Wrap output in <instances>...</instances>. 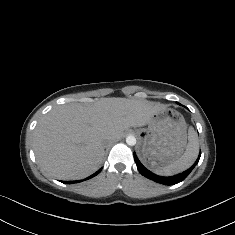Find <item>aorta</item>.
<instances>
[{"instance_id":"aorta-1","label":"aorta","mask_w":235,"mask_h":235,"mask_svg":"<svg viewBox=\"0 0 235 235\" xmlns=\"http://www.w3.org/2000/svg\"><path fill=\"white\" fill-rule=\"evenodd\" d=\"M126 143L129 145V146H134L136 145V138L134 136H128L126 138Z\"/></svg>"}]
</instances>
